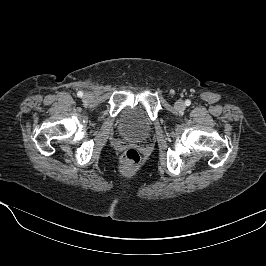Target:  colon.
<instances>
[{"label": "colon", "instance_id": "colon-1", "mask_svg": "<svg viewBox=\"0 0 266 266\" xmlns=\"http://www.w3.org/2000/svg\"><path fill=\"white\" fill-rule=\"evenodd\" d=\"M141 157L137 150L128 149L122 156V162L127 166H137L140 163Z\"/></svg>", "mask_w": 266, "mask_h": 266}]
</instances>
